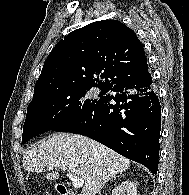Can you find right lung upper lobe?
I'll return each mask as SVG.
<instances>
[{
    "label": "right lung upper lobe",
    "mask_w": 189,
    "mask_h": 195,
    "mask_svg": "<svg viewBox=\"0 0 189 195\" xmlns=\"http://www.w3.org/2000/svg\"><path fill=\"white\" fill-rule=\"evenodd\" d=\"M147 66L143 46L129 27L117 20L97 21L57 43L45 60L33 100L75 86L108 88L142 74Z\"/></svg>",
    "instance_id": "cb5924a9"
}]
</instances>
